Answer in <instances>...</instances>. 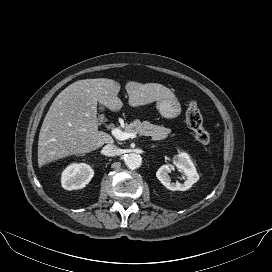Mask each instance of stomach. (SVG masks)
<instances>
[{"mask_svg":"<svg viewBox=\"0 0 272 272\" xmlns=\"http://www.w3.org/2000/svg\"><path fill=\"white\" fill-rule=\"evenodd\" d=\"M156 107L159 113L166 119H173L181 114V105L175 98L159 100Z\"/></svg>","mask_w":272,"mask_h":272,"instance_id":"stomach-1","label":"stomach"}]
</instances>
